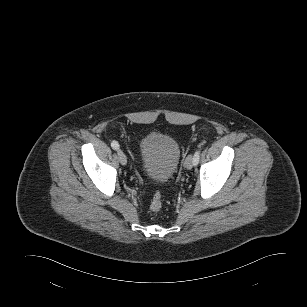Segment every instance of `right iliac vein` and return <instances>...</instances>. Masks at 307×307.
<instances>
[{"instance_id":"63e3f726","label":"right iliac vein","mask_w":307,"mask_h":307,"mask_svg":"<svg viewBox=\"0 0 307 307\" xmlns=\"http://www.w3.org/2000/svg\"><path fill=\"white\" fill-rule=\"evenodd\" d=\"M118 157H119V161L122 165L127 164V157L122 150H118Z\"/></svg>"}]
</instances>
